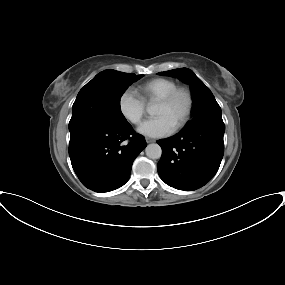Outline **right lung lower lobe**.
<instances>
[{
	"label": "right lung lower lobe",
	"instance_id": "1",
	"mask_svg": "<svg viewBox=\"0 0 285 285\" xmlns=\"http://www.w3.org/2000/svg\"><path fill=\"white\" fill-rule=\"evenodd\" d=\"M125 140L127 145L122 144ZM145 147V138L135 134L129 123L115 127L88 121L70 130L72 167L85 187L100 193L128 181L133 161Z\"/></svg>",
	"mask_w": 285,
	"mask_h": 285
}]
</instances>
